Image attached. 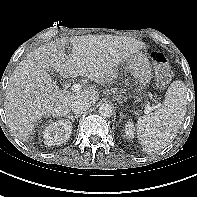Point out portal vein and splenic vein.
Instances as JSON below:
<instances>
[{"label":"portal vein and splenic vein","mask_w":197,"mask_h":197,"mask_svg":"<svg viewBox=\"0 0 197 197\" xmlns=\"http://www.w3.org/2000/svg\"><path fill=\"white\" fill-rule=\"evenodd\" d=\"M82 85L79 83H75L72 85L71 89L73 92H79L81 90ZM154 108L150 106V104L148 103L147 106L145 107V113L148 114L150 113Z\"/></svg>","instance_id":"portal-vein-and-splenic-vein-1"}]
</instances>
